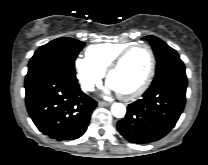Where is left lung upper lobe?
Masks as SVG:
<instances>
[{"label": "left lung upper lobe", "instance_id": "left-lung-upper-lobe-1", "mask_svg": "<svg viewBox=\"0 0 208 165\" xmlns=\"http://www.w3.org/2000/svg\"><path fill=\"white\" fill-rule=\"evenodd\" d=\"M143 39L149 41L152 45L157 60L156 73L170 65L183 63L178 53L161 39L151 35L145 36Z\"/></svg>", "mask_w": 208, "mask_h": 165}]
</instances>
